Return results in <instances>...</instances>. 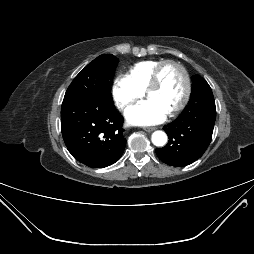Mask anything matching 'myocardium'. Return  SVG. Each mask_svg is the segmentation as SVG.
I'll return each mask as SVG.
<instances>
[{"mask_svg": "<svg viewBox=\"0 0 254 254\" xmlns=\"http://www.w3.org/2000/svg\"><path fill=\"white\" fill-rule=\"evenodd\" d=\"M167 65L176 66L181 71V73L183 75V79H184L183 96H182L180 102L176 105V107L169 112V115L173 116V115L177 114L178 112H180L186 106V104L189 100L190 94H191V81H190L189 74H188L186 68L180 62H178L176 60H172V59L162 61L155 69L152 79H151L147 89L145 90V93H146V96L148 97V95L159 86L162 71L164 70V68Z\"/></svg>", "mask_w": 254, "mask_h": 254, "instance_id": "obj_1", "label": "myocardium"}]
</instances>
